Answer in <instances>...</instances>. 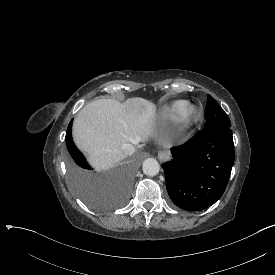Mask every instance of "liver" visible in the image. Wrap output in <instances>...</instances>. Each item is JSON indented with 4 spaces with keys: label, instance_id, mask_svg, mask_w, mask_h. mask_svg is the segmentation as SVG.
<instances>
[{
    "label": "liver",
    "instance_id": "6515ba94",
    "mask_svg": "<svg viewBox=\"0 0 275 275\" xmlns=\"http://www.w3.org/2000/svg\"><path fill=\"white\" fill-rule=\"evenodd\" d=\"M157 105L142 97L120 102L98 99L84 106L72 124V138L86 161L96 173L108 172L118 166L126 155L124 144L142 149L154 133Z\"/></svg>",
    "mask_w": 275,
    "mask_h": 275
}]
</instances>
